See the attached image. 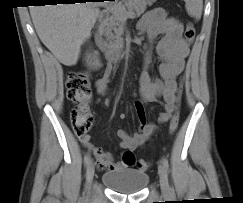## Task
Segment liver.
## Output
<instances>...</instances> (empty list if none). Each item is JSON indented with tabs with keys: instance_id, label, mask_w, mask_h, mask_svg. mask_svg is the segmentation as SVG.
<instances>
[{
	"instance_id": "liver-1",
	"label": "liver",
	"mask_w": 243,
	"mask_h": 203,
	"mask_svg": "<svg viewBox=\"0 0 243 203\" xmlns=\"http://www.w3.org/2000/svg\"><path fill=\"white\" fill-rule=\"evenodd\" d=\"M96 2L32 6L30 15L42 43L64 65H76L81 45L91 36Z\"/></svg>"
}]
</instances>
